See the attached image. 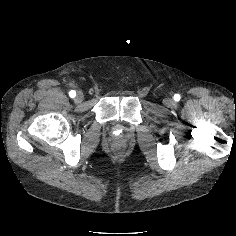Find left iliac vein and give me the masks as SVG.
<instances>
[{"label":"left iliac vein","mask_w":236,"mask_h":236,"mask_svg":"<svg viewBox=\"0 0 236 236\" xmlns=\"http://www.w3.org/2000/svg\"><path fill=\"white\" fill-rule=\"evenodd\" d=\"M164 105L168 106V107H173L175 105V101L173 99H164L163 101Z\"/></svg>","instance_id":"obj_1"}]
</instances>
